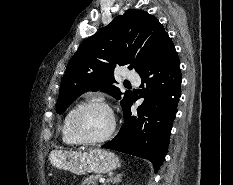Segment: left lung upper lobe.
I'll return each instance as SVG.
<instances>
[{"label":"left lung upper lobe","mask_w":233,"mask_h":185,"mask_svg":"<svg viewBox=\"0 0 233 185\" xmlns=\"http://www.w3.org/2000/svg\"><path fill=\"white\" fill-rule=\"evenodd\" d=\"M168 37L163 25L153 15L129 9L106 27L86 39L70 60L60 86L56 105L63 113L70 104L88 90L106 91L121 99L114 69L127 66L138 74L147 67L161 44ZM132 101L127 91L121 101L123 112Z\"/></svg>","instance_id":"left-lung-upper-lobe-1"}]
</instances>
